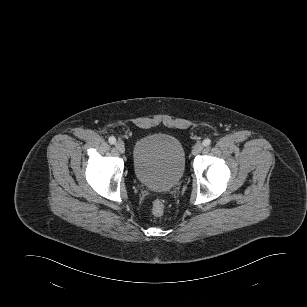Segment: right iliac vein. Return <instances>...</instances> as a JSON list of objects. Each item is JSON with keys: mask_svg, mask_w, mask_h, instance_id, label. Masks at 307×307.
Segmentation results:
<instances>
[{"mask_svg": "<svg viewBox=\"0 0 307 307\" xmlns=\"http://www.w3.org/2000/svg\"><path fill=\"white\" fill-rule=\"evenodd\" d=\"M115 147L116 149L121 153L123 154L125 152V146H124V143L121 142V141H118L116 144H115Z\"/></svg>", "mask_w": 307, "mask_h": 307, "instance_id": "obj_1", "label": "right iliac vein"}]
</instances>
